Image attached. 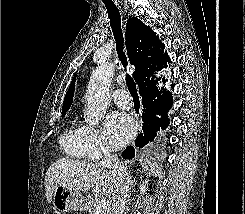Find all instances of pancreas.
<instances>
[{"label":"pancreas","mask_w":245,"mask_h":214,"mask_svg":"<svg viewBox=\"0 0 245 214\" xmlns=\"http://www.w3.org/2000/svg\"><path fill=\"white\" fill-rule=\"evenodd\" d=\"M101 198L102 197L99 196L95 200L91 201L89 207L90 214H97V207L99 206V201ZM111 211H112V207L111 205H108L107 207L101 209L100 214H111Z\"/></svg>","instance_id":"cf45deb5"}]
</instances>
